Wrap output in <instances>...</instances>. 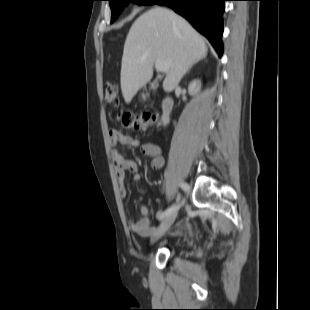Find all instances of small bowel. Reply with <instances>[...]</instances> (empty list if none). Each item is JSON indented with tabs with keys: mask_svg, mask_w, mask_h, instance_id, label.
I'll return each mask as SVG.
<instances>
[{
	"mask_svg": "<svg viewBox=\"0 0 310 310\" xmlns=\"http://www.w3.org/2000/svg\"><path fill=\"white\" fill-rule=\"evenodd\" d=\"M109 142L111 146L113 167L119 183V193L123 198L127 196V190L124 186V179L126 172L128 171L133 174L132 176L133 184L140 182L141 175L138 172V166L136 162L133 159L123 155L117 148V144L138 148L143 155L151 159V167L154 169H159L164 165V157L161 153V150L154 143L141 142L127 134L122 133L117 129L109 130ZM140 210L143 217L137 221H130L129 223L130 228L134 233H136L139 236L142 237L151 236L157 231L158 227H154L151 225L149 219V209L147 206L142 205L140 207ZM163 213H164L163 211H158L156 213V218L161 220ZM187 225H188L187 221H184L181 227Z\"/></svg>",
	"mask_w": 310,
	"mask_h": 310,
	"instance_id": "c3829d8e",
	"label": "small bowel"
}]
</instances>
